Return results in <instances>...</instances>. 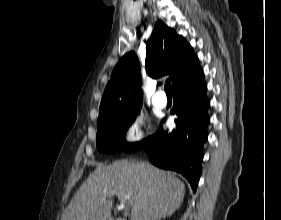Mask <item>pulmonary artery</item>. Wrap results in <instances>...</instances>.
<instances>
[{"instance_id": "e3ab8cb5", "label": "pulmonary artery", "mask_w": 281, "mask_h": 220, "mask_svg": "<svg viewBox=\"0 0 281 220\" xmlns=\"http://www.w3.org/2000/svg\"><path fill=\"white\" fill-rule=\"evenodd\" d=\"M152 102L157 108H165L167 105V98L164 91L161 89L156 91L153 96Z\"/></svg>"}]
</instances>
